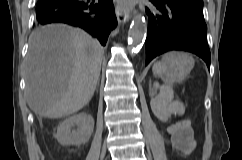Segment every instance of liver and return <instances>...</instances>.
Here are the masks:
<instances>
[{
    "label": "liver",
    "instance_id": "6515ba94",
    "mask_svg": "<svg viewBox=\"0 0 242 160\" xmlns=\"http://www.w3.org/2000/svg\"><path fill=\"white\" fill-rule=\"evenodd\" d=\"M104 48L81 29L50 25L32 32L26 58V97L41 117L74 114L94 95Z\"/></svg>",
    "mask_w": 242,
    "mask_h": 160
}]
</instances>
